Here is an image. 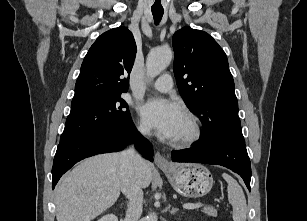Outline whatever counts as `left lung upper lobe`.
I'll return each instance as SVG.
<instances>
[{"label":"left lung upper lobe","instance_id":"obj_1","mask_svg":"<svg viewBox=\"0 0 307 221\" xmlns=\"http://www.w3.org/2000/svg\"><path fill=\"white\" fill-rule=\"evenodd\" d=\"M174 75L190 111L203 123L200 138L245 145L234 81L223 49L208 33L184 27L173 36Z\"/></svg>","mask_w":307,"mask_h":221}]
</instances>
